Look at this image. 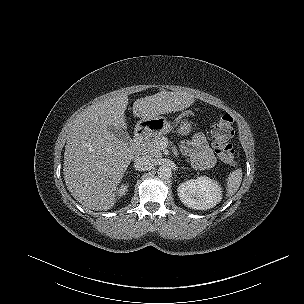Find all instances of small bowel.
Masks as SVG:
<instances>
[{
    "label": "small bowel",
    "instance_id": "small-bowel-1",
    "mask_svg": "<svg viewBox=\"0 0 304 304\" xmlns=\"http://www.w3.org/2000/svg\"><path fill=\"white\" fill-rule=\"evenodd\" d=\"M186 152L197 168L207 167L214 163V158L203 137H197L194 141L188 143Z\"/></svg>",
    "mask_w": 304,
    "mask_h": 304
}]
</instances>
